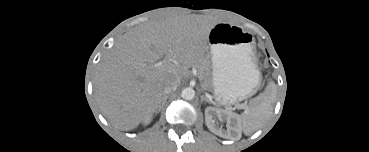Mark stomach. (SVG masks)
Returning <instances> with one entry per match:
<instances>
[{
    "label": "stomach",
    "mask_w": 369,
    "mask_h": 152,
    "mask_svg": "<svg viewBox=\"0 0 369 152\" xmlns=\"http://www.w3.org/2000/svg\"><path fill=\"white\" fill-rule=\"evenodd\" d=\"M251 36L242 28L217 23L208 34L213 61V89L221 104H232L252 95L260 75L251 60Z\"/></svg>",
    "instance_id": "stomach-1"
}]
</instances>
